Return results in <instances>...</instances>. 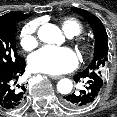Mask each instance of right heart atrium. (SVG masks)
I'll list each match as a JSON object with an SVG mask.
<instances>
[{
  "label": "right heart atrium",
  "instance_id": "1",
  "mask_svg": "<svg viewBox=\"0 0 117 117\" xmlns=\"http://www.w3.org/2000/svg\"><path fill=\"white\" fill-rule=\"evenodd\" d=\"M37 28V21H31L22 28L20 33V44L23 49L30 51L38 45Z\"/></svg>",
  "mask_w": 117,
  "mask_h": 117
}]
</instances>
